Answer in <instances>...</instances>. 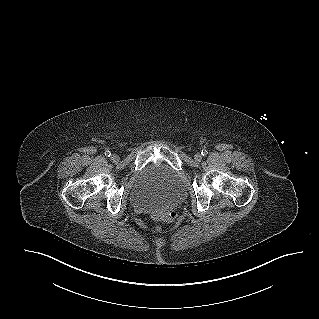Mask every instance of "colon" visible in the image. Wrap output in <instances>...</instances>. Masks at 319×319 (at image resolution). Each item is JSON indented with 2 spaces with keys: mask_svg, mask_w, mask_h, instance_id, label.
<instances>
[{
  "mask_svg": "<svg viewBox=\"0 0 319 319\" xmlns=\"http://www.w3.org/2000/svg\"><path fill=\"white\" fill-rule=\"evenodd\" d=\"M151 217L154 219L163 220L165 222L171 223L176 219V213L174 211L161 212L153 211Z\"/></svg>",
  "mask_w": 319,
  "mask_h": 319,
  "instance_id": "5ec220e1",
  "label": "colon"
}]
</instances>
